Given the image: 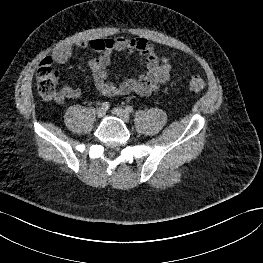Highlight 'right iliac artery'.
Returning a JSON list of instances; mask_svg holds the SVG:
<instances>
[{"instance_id": "82829eb1", "label": "right iliac artery", "mask_w": 263, "mask_h": 263, "mask_svg": "<svg viewBox=\"0 0 263 263\" xmlns=\"http://www.w3.org/2000/svg\"><path fill=\"white\" fill-rule=\"evenodd\" d=\"M102 107L106 110L109 108V102H103Z\"/></svg>"}]
</instances>
